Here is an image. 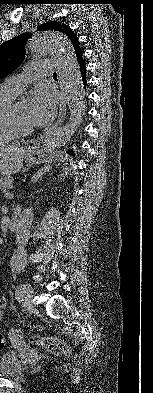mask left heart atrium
Listing matches in <instances>:
<instances>
[{"mask_svg":"<svg viewBox=\"0 0 153 393\" xmlns=\"http://www.w3.org/2000/svg\"><path fill=\"white\" fill-rule=\"evenodd\" d=\"M57 112L55 97L43 89L36 90L30 105L29 121L34 127L49 124Z\"/></svg>","mask_w":153,"mask_h":393,"instance_id":"39dd6f15","label":"left heart atrium"}]
</instances>
